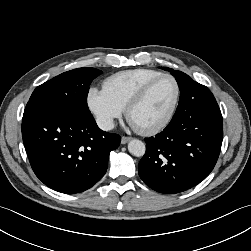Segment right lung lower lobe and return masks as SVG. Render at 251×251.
<instances>
[{
    "label": "right lung lower lobe",
    "mask_w": 251,
    "mask_h": 251,
    "mask_svg": "<svg viewBox=\"0 0 251 251\" xmlns=\"http://www.w3.org/2000/svg\"><path fill=\"white\" fill-rule=\"evenodd\" d=\"M24 146L36 176L58 192L91 188L105 174L117 134L102 131L93 116L80 117L40 103H27L22 120Z\"/></svg>",
    "instance_id": "obj_1"
}]
</instances>
